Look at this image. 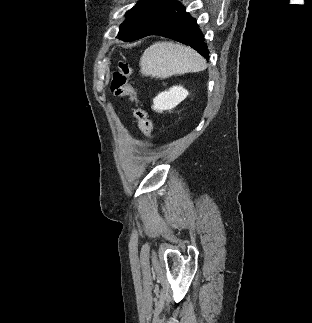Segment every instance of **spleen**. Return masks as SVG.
<instances>
[{"label": "spleen", "mask_w": 312, "mask_h": 323, "mask_svg": "<svg viewBox=\"0 0 312 323\" xmlns=\"http://www.w3.org/2000/svg\"><path fill=\"white\" fill-rule=\"evenodd\" d=\"M143 76L169 78L174 74L202 72L206 70V60L188 46H180L173 42H156L145 50L141 60Z\"/></svg>", "instance_id": "1"}]
</instances>
